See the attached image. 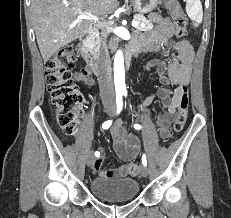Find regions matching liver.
I'll list each match as a JSON object with an SVG mask.
<instances>
[{"instance_id": "6515ba94", "label": "liver", "mask_w": 231, "mask_h": 218, "mask_svg": "<svg viewBox=\"0 0 231 218\" xmlns=\"http://www.w3.org/2000/svg\"><path fill=\"white\" fill-rule=\"evenodd\" d=\"M118 6V0H31L32 22L44 62L86 34L93 20L79 18V10L103 18Z\"/></svg>"}]
</instances>
